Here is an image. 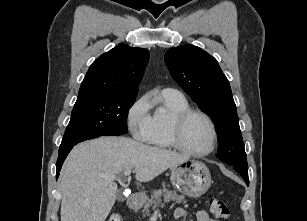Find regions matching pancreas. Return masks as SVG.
I'll return each mask as SVG.
<instances>
[{
    "mask_svg": "<svg viewBox=\"0 0 307 221\" xmlns=\"http://www.w3.org/2000/svg\"><path fill=\"white\" fill-rule=\"evenodd\" d=\"M162 197L164 202H169L170 200L176 203H185V197L183 195H178L175 191H170L168 189L154 190L150 198H146L145 205L143 209L144 216L150 214V208L155 209L162 202Z\"/></svg>",
    "mask_w": 307,
    "mask_h": 221,
    "instance_id": "pancreas-1",
    "label": "pancreas"
}]
</instances>
